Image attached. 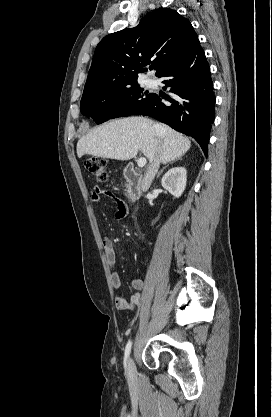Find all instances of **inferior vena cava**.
Returning a JSON list of instances; mask_svg holds the SVG:
<instances>
[{
    "label": "inferior vena cava",
    "instance_id": "1",
    "mask_svg": "<svg viewBox=\"0 0 272 417\" xmlns=\"http://www.w3.org/2000/svg\"><path fill=\"white\" fill-rule=\"evenodd\" d=\"M157 129L158 127L155 126ZM160 166V156L159 154L156 155L154 161L149 165V167L146 170V173L144 175V179L142 181V190L146 191L151 186L152 181L154 180V177L156 173L158 172Z\"/></svg>",
    "mask_w": 272,
    "mask_h": 417
}]
</instances>
